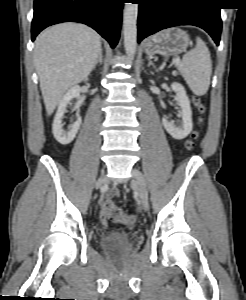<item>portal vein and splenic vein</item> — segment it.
I'll use <instances>...</instances> for the list:
<instances>
[{
	"label": "portal vein and splenic vein",
	"mask_w": 246,
	"mask_h": 300,
	"mask_svg": "<svg viewBox=\"0 0 246 300\" xmlns=\"http://www.w3.org/2000/svg\"><path fill=\"white\" fill-rule=\"evenodd\" d=\"M176 64H179V60H177Z\"/></svg>",
	"instance_id": "obj_1"
}]
</instances>
